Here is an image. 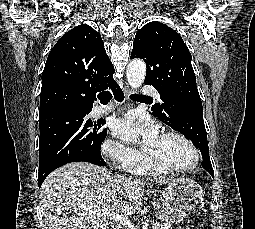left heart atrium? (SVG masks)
<instances>
[{
    "mask_svg": "<svg viewBox=\"0 0 255 229\" xmlns=\"http://www.w3.org/2000/svg\"><path fill=\"white\" fill-rule=\"evenodd\" d=\"M111 128L115 137L138 144L143 149L152 146L160 136L157 127L150 120L138 118L135 113L114 119Z\"/></svg>",
    "mask_w": 255,
    "mask_h": 229,
    "instance_id": "obj_1",
    "label": "left heart atrium"
}]
</instances>
